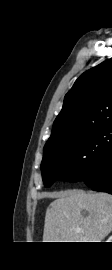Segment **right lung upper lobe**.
<instances>
[{
	"label": "right lung upper lobe",
	"instance_id": "cb5924a9",
	"mask_svg": "<svg viewBox=\"0 0 112 270\" xmlns=\"http://www.w3.org/2000/svg\"><path fill=\"white\" fill-rule=\"evenodd\" d=\"M107 124H112V58L76 80L64 98L44 149Z\"/></svg>",
	"mask_w": 112,
	"mask_h": 270
}]
</instances>
